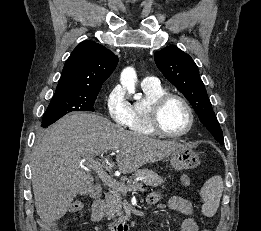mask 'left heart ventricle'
Segmentation results:
<instances>
[{
	"instance_id": "obj_1",
	"label": "left heart ventricle",
	"mask_w": 261,
	"mask_h": 231,
	"mask_svg": "<svg viewBox=\"0 0 261 231\" xmlns=\"http://www.w3.org/2000/svg\"><path fill=\"white\" fill-rule=\"evenodd\" d=\"M189 122L187 109L178 99L169 100L162 109L161 123L163 128L172 133L183 131Z\"/></svg>"
}]
</instances>
